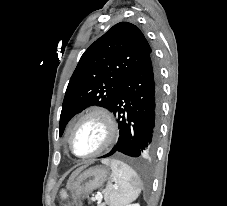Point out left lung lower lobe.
I'll return each mask as SVG.
<instances>
[{
	"mask_svg": "<svg viewBox=\"0 0 227 206\" xmlns=\"http://www.w3.org/2000/svg\"><path fill=\"white\" fill-rule=\"evenodd\" d=\"M161 84L152 57H148L123 82L111 108L120 136L114 153L139 157L153 152L158 136Z\"/></svg>",
	"mask_w": 227,
	"mask_h": 206,
	"instance_id": "0a47b994",
	"label": "left lung lower lobe"
}]
</instances>
